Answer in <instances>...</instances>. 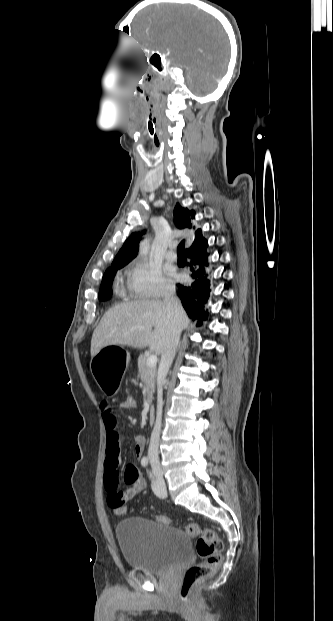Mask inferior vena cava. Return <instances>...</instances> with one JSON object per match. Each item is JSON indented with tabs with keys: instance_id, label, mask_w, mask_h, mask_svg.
<instances>
[{
	"instance_id": "1",
	"label": "inferior vena cava",
	"mask_w": 333,
	"mask_h": 621,
	"mask_svg": "<svg viewBox=\"0 0 333 621\" xmlns=\"http://www.w3.org/2000/svg\"><path fill=\"white\" fill-rule=\"evenodd\" d=\"M164 303L167 308V315L170 319V326L166 337V342L161 355L159 364V387L157 396V418L151 433L150 444L148 448V459L151 465L159 464V440L161 432L162 407H163V383L165 377L172 365L176 350L180 340L181 326L178 322V314L181 309L180 301L175 297V292H169Z\"/></svg>"
}]
</instances>
